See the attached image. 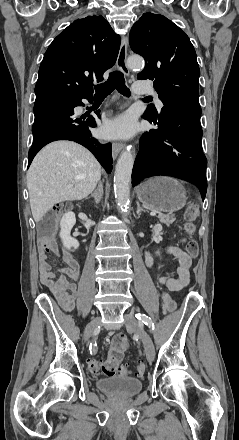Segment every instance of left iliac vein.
Segmentation results:
<instances>
[{"mask_svg": "<svg viewBox=\"0 0 239 440\" xmlns=\"http://www.w3.org/2000/svg\"><path fill=\"white\" fill-rule=\"evenodd\" d=\"M124 318H125L126 327L128 329L134 331L135 333H137L140 336L142 343L144 345V348H145L147 360L149 362L153 361L154 357H155V348H154L151 337L142 328V326L140 325L138 320L133 315L125 314Z\"/></svg>", "mask_w": 239, "mask_h": 440, "instance_id": "4c4485c4", "label": "left iliac vein"}]
</instances>
